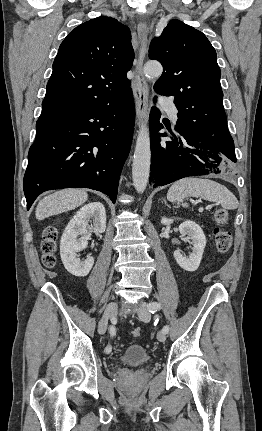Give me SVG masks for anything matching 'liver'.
Wrapping results in <instances>:
<instances>
[{"label": "liver", "instance_id": "1", "mask_svg": "<svg viewBox=\"0 0 262 431\" xmlns=\"http://www.w3.org/2000/svg\"><path fill=\"white\" fill-rule=\"evenodd\" d=\"M87 199L88 194L85 190H60L40 200L36 207L35 216L38 220H44L47 217L73 210L84 204Z\"/></svg>", "mask_w": 262, "mask_h": 431}]
</instances>
